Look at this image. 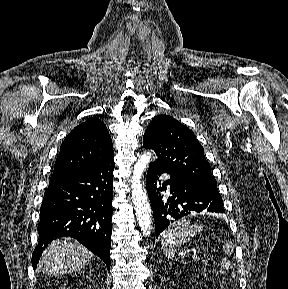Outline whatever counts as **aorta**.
<instances>
[{
  "instance_id": "1",
  "label": "aorta",
  "mask_w": 288,
  "mask_h": 289,
  "mask_svg": "<svg viewBox=\"0 0 288 289\" xmlns=\"http://www.w3.org/2000/svg\"><path fill=\"white\" fill-rule=\"evenodd\" d=\"M151 157L152 155L150 152L143 153L134 165L133 175L131 177L132 200L143 235L149 234V228L152 223L151 206L141 183L142 175L149 164Z\"/></svg>"
}]
</instances>
